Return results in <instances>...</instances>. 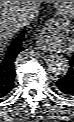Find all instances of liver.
Returning <instances> with one entry per match:
<instances>
[{
  "label": "liver",
  "instance_id": "liver-1",
  "mask_svg": "<svg viewBox=\"0 0 74 122\" xmlns=\"http://www.w3.org/2000/svg\"><path fill=\"white\" fill-rule=\"evenodd\" d=\"M38 1H0V51L23 27L20 15L26 8L36 6Z\"/></svg>",
  "mask_w": 74,
  "mask_h": 122
}]
</instances>
